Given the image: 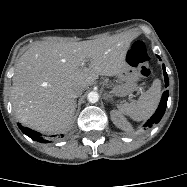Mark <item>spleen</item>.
I'll return each mask as SVG.
<instances>
[{
	"label": "spleen",
	"instance_id": "1",
	"mask_svg": "<svg viewBox=\"0 0 187 187\" xmlns=\"http://www.w3.org/2000/svg\"><path fill=\"white\" fill-rule=\"evenodd\" d=\"M161 98V81L155 79L152 86L137 100L118 105V110L135 121L149 118L156 110Z\"/></svg>",
	"mask_w": 187,
	"mask_h": 187
}]
</instances>
